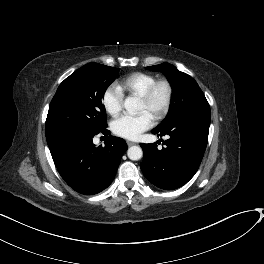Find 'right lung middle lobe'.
Wrapping results in <instances>:
<instances>
[{
	"instance_id": "dd1d6c3e",
	"label": "right lung middle lobe",
	"mask_w": 264,
	"mask_h": 264,
	"mask_svg": "<svg viewBox=\"0 0 264 264\" xmlns=\"http://www.w3.org/2000/svg\"><path fill=\"white\" fill-rule=\"evenodd\" d=\"M119 69L89 63L58 87L45 124L46 138L64 132L97 134L107 127L102 98Z\"/></svg>"
}]
</instances>
